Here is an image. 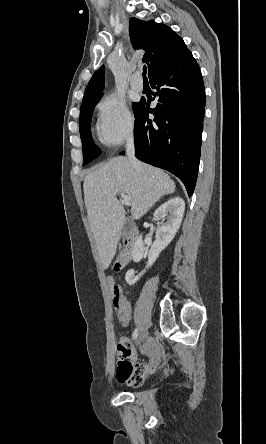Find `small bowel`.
<instances>
[{"instance_id": "small-bowel-1", "label": "small bowel", "mask_w": 266, "mask_h": 444, "mask_svg": "<svg viewBox=\"0 0 266 444\" xmlns=\"http://www.w3.org/2000/svg\"><path fill=\"white\" fill-rule=\"evenodd\" d=\"M113 283V280H109ZM116 314L122 326L130 322L131 310L127 299L122 306L115 308ZM146 352L153 358L150 362L137 361L135 350L127 337H122L117 345L118 365L116 370L117 380L122 384L137 387L142 384L144 378L157 366L155 354L158 350L157 344L148 340L145 343Z\"/></svg>"}]
</instances>
